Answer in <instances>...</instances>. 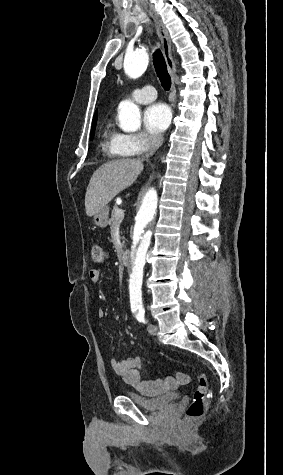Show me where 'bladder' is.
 I'll use <instances>...</instances> for the list:
<instances>
[{
    "label": "bladder",
    "mask_w": 283,
    "mask_h": 475,
    "mask_svg": "<svg viewBox=\"0 0 283 475\" xmlns=\"http://www.w3.org/2000/svg\"><path fill=\"white\" fill-rule=\"evenodd\" d=\"M125 396L135 403L136 406L152 412L162 410L169 406H176L180 401L179 396H172L168 394L144 398L138 392L126 391Z\"/></svg>",
    "instance_id": "obj_1"
}]
</instances>
